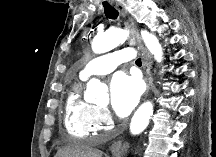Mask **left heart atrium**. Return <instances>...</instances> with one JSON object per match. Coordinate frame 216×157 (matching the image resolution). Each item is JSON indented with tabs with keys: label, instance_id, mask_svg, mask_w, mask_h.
<instances>
[{
	"label": "left heart atrium",
	"instance_id": "39dd6f15",
	"mask_svg": "<svg viewBox=\"0 0 216 157\" xmlns=\"http://www.w3.org/2000/svg\"><path fill=\"white\" fill-rule=\"evenodd\" d=\"M141 95V86L133 76L117 73L110 82L111 106L118 116L124 117L131 113Z\"/></svg>",
	"mask_w": 216,
	"mask_h": 157
}]
</instances>
